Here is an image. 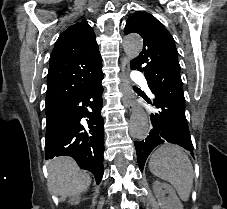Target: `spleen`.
Here are the masks:
<instances>
[{"mask_svg": "<svg viewBox=\"0 0 227 209\" xmlns=\"http://www.w3.org/2000/svg\"><path fill=\"white\" fill-rule=\"evenodd\" d=\"M150 173L168 181L176 189L181 201H188L192 191L194 171L192 163L181 147L162 145L149 161Z\"/></svg>", "mask_w": 227, "mask_h": 209, "instance_id": "obj_1", "label": "spleen"}]
</instances>
